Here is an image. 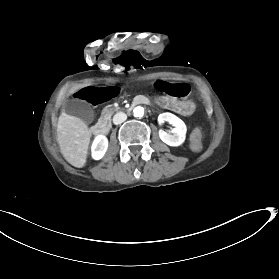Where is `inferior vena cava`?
Listing matches in <instances>:
<instances>
[{"label": "inferior vena cava", "mask_w": 279, "mask_h": 279, "mask_svg": "<svg viewBox=\"0 0 279 279\" xmlns=\"http://www.w3.org/2000/svg\"><path fill=\"white\" fill-rule=\"evenodd\" d=\"M127 116L125 114H123L122 112L117 113L114 118H113V122L115 124H121L122 122H124L126 120Z\"/></svg>", "instance_id": "obj_1"}]
</instances>
